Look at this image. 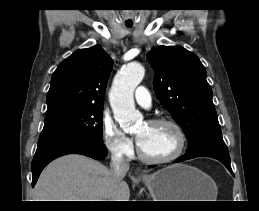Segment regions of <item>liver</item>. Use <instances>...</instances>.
<instances>
[{"label":"liver","mask_w":259,"mask_h":211,"mask_svg":"<svg viewBox=\"0 0 259 211\" xmlns=\"http://www.w3.org/2000/svg\"><path fill=\"white\" fill-rule=\"evenodd\" d=\"M126 182H115L101 162L69 154L51 162L34 188L35 201H129Z\"/></svg>","instance_id":"liver-1"}]
</instances>
